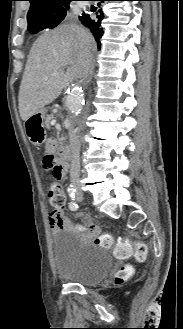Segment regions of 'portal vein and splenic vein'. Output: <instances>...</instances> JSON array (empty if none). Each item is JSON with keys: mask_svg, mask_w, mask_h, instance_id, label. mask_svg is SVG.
<instances>
[{"mask_svg": "<svg viewBox=\"0 0 183 329\" xmlns=\"http://www.w3.org/2000/svg\"><path fill=\"white\" fill-rule=\"evenodd\" d=\"M51 124H52V125H55V124H56V120H52V121H51Z\"/></svg>", "mask_w": 183, "mask_h": 329, "instance_id": "18ae733b", "label": "portal vein and splenic vein"}]
</instances>
